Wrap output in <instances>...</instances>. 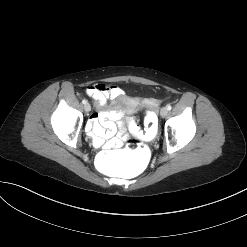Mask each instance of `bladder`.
<instances>
[{"label":"bladder","mask_w":247,"mask_h":247,"mask_svg":"<svg viewBox=\"0 0 247 247\" xmlns=\"http://www.w3.org/2000/svg\"><path fill=\"white\" fill-rule=\"evenodd\" d=\"M115 105L119 108H129L131 107V102H129L126 99H123V100H118Z\"/></svg>","instance_id":"bladder-1"}]
</instances>
